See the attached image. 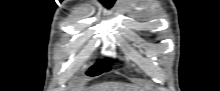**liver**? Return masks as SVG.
Listing matches in <instances>:
<instances>
[{
	"instance_id": "6515ba94",
	"label": "liver",
	"mask_w": 220,
	"mask_h": 91,
	"mask_svg": "<svg viewBox=\"0 0 220 91\" xmlns=\"http://www.w3.org/2000/svg\"><path fill=\"white\" fill-rule=\"evenodd\" d=\"M90 91H147L132 85H124L117 83H107L102 85H95L90 88Z\"/></svg>"
}]
</instances>
